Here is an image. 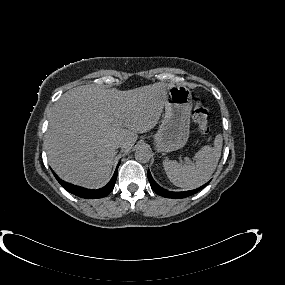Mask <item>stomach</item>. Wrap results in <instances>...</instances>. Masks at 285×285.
<instances>
[{"label": "stomach", "instance_id": "stomach-1", "mask_svg": "<svg viewBox=\"0 0 285 285\" xmlns=\"http://www.w3.org/2000/svg\"><path fill=\"white\" fill-rule=\"evenodd\" d=\"M164 107V118L154 142L160 151L172 152L184 147L189 137L190 90L184 85H173L167 92Z\"/></svg>", "mask_w": 285, "mask_h": 285}]
</instances>
